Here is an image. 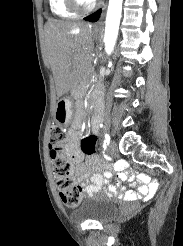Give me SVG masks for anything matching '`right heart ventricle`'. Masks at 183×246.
<instances>
[{
	"instance_id": "right-heart-ventricle-1",
	"label": "right heart ventricle",
	"mask_w": 183,
	"mask_h": 246,
	"mask_svg": "<svg viewBox=\"0 0 183 246\" xmlns=\"http://www.w3.org/2000/svg\"><path fill=\"white\" fill-rule=\"evenodd\" d=\"M52 13L60 18H72L77 13L70 9L66 0H49Z\"/></svg>"
}]
</instances>
